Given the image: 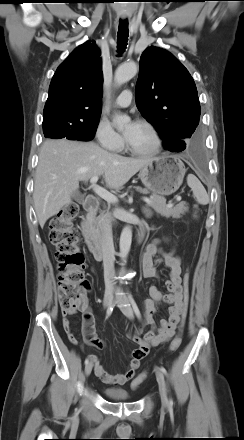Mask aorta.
<instances>
[{
    "label": "aorta",
    "instance_id": "1",
    "mask_svg": "<svg viewBox=\"0 0 244 440\" xmlns=\"http://www.w3.org/2000/svg\"><path fill=\"white\" fill-rule=\"evenodd\" d=\"M137 72V66L135 63H125L120 65L114 75V81L117 85H122L132 79ZM130 118L127 115H121L116 113L113 118L118 130H122L127 123H129ZM132 242V229L130 226L124 227L120 236V258L122 261H126L129 254Z\"/></svg>",
    "mask_w": 244,
    "mask_h": 440
}]
</instances>
